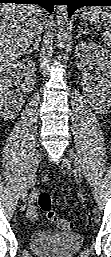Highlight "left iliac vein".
<instances>
[{
	"mask_svg": "<svg viewBox=\"0 0 111 257\" xmlns=\"http://www.w3.org/2000/svg\"><path fill=\"white\" fill-rule=\"evenodd\" d=\"M69 153H70L71 157L74 158V153L71 150H69ZM75 172L78 174L79 180H81V177H82L81 176V168L77 163L75 165Z\"/></svg>",
	"mask_w": 111,
	"mask_h": 257,
	"instance_id": "1",
	"label": "left iliac vein"
}]
</instances>
